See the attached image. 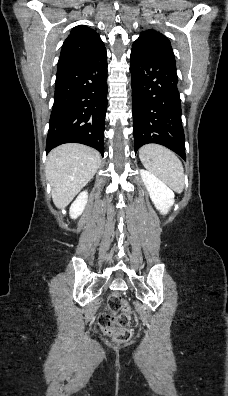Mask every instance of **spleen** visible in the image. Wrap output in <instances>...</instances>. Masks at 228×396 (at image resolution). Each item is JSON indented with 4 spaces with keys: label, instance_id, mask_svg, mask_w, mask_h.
Instances as JSON below:
<instances>
[{
    "label": "spleen",
    "instance_id": "obj_1",
    "mask_svg": "<svg viewBox=\"0 0 228 396\" xmlns=\"http://www.w3.org/2000/svg\"><path fill=\"white\" fill-rule=\"evenodd\" d=\"M139 157L144 167L175 192L184 189V169L179 158L169 149L158 144H147L140 148Z\"/></svg>",
    "mask_w": 228,
    "mask_h": 396
}]
</instances>
